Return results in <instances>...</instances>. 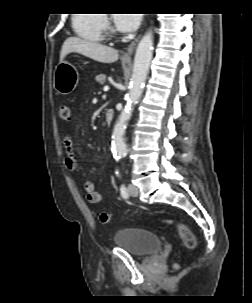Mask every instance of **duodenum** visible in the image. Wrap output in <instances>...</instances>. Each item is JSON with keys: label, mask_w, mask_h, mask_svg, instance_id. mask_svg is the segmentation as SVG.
Instances as JSON below:
<instances>
[{"label": "duodenum", "mask_w": 252, "mask_h": 303, "mask_svg": "<svg viewBox=\"0 0 252 303\" xmlns=\"http://www.w3.org/2000/svg\"><path fill=\"white\" fill-rule=\"evenodd\" d=\"M114 112L111 109H108L105 114L104 126L108 127L113 119Z\"/></svg>", "instance_id": "obj_1"}]
</instances>
